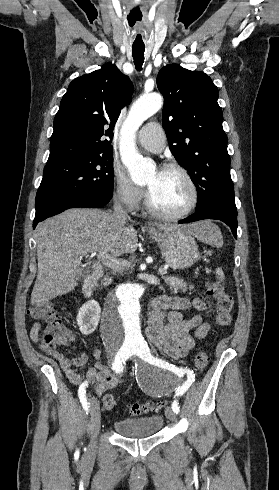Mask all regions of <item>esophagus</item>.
<instances>
[{
	"label": "esophagus",
	"mask_w": 279,
	"mask_h": 490,
	"mask_svg": "<svg viewBox=\"0 0 279 490\" xmlns=\"http://www.w3.org/2000/svg\"><path fill=\"white\" fill-rule=\"evenodd\" d=\"M153 227H154V225H153V224H145V225H144V228H147V229H149V228H153Z\"/></svg>",
	"instance_id": "1"
}]
</instances>
